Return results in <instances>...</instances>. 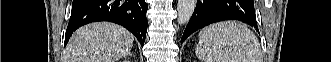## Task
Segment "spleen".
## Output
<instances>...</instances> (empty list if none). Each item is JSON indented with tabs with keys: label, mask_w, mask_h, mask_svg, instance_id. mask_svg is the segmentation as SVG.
<instances>
[{
	"label": "spleen",
	"mask_w": 331,
	"mask_h": 62,
	"mask_svg": "<svg viewBox=\"0 0 331 62\" xmlns=\"http://www.w3.org/2000/svg\"><path fill=\"white\" fill-rule=\"evenodd\" d=\"M201 62H259L260 47L256 36L236 21L212 24L199 33L195 50Z\"/></svg>",
	"instance_id": "1"
}]
</instances>
